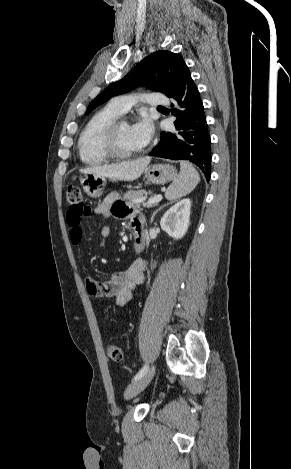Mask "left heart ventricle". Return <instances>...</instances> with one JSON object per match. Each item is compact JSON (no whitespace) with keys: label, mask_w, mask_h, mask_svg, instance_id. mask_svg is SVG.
Here are the masks:
<instances>
[{"label":"left heart ventricle","mask_w":291,"mask_h":469,"mask_svg":"<svg viewBox=\"0 0 291 469\" xmlns=\"http://www.w3.org/2000/svg\"><path fill=\"white\" fill-rule=\"evenodd\" d=\"M117 142L118 146L123 151H135L142 148L134 137L129 123H123L118 128Z\"/></svg>","instance_id":"obj_1"}]
</instances>
